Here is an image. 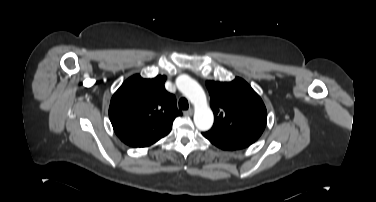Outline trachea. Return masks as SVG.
Segmentation results:
<instances>
[{
	"mask_svg": "<svg viewBox=\"0 0 376 202\" xmlns=\"http://www.w3.org/2000/svg\"><path fill=\"white\" fill-rule=\"evenodd\" d=\"M179 108L181 110H187L189 108V104L186 98H181L179 100Z\"/></svg>",
	"mask_w": 376,
	"mask_h": 202,
	"instance_id": "3493384b",
	"label": "trachea"
}]
</instances>
